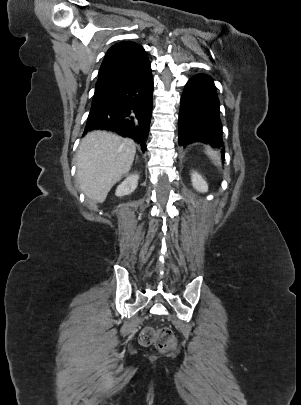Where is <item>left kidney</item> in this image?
Segmentation results:
<instances>
[{
  "instance_id": "obj_1",
  "label": "left kidney",
  "mask_w": 301,
  "mask_h": 405,
  "mask_svg": "<svg viewBox=\"0 0 301 405\" xmlns=\"http://www.w3.org/2000/svg\"><path fill=\"white\" fill-rule=\"evenodd\" d=\"M191 181H192V185L193 187L199 191V192H207L208 191V185L206 183V181L202 178V176L200 174H198L197 172H193L191 175Z\"/></svg>"
}]
</instances>
